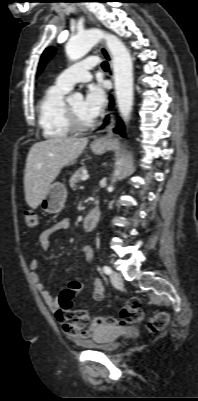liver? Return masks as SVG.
<instances>
[{
    "label": "liver",
    "instance_id": "6515ba94",
    "mask_svg": "<svg viewBox=\"0 0 198 401\" xmlns=\"http://www.w3.org/2000/svg\"><path fill=\"white\" fill-rule=\"evenodd\" d=\"M87 138L53 137L35 143L27 156L24 191L27 204L36 209L61 169L79 157Z\"/></svg>",
    "mask_w": 198,
    "mask_h": 401
}]
</instances>
